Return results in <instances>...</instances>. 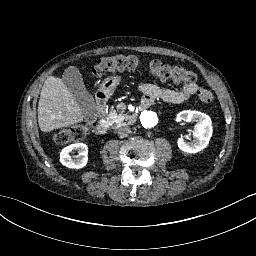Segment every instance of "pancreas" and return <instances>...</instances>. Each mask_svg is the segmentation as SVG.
I'll return each mask as SVG.
<instances>
[{"instance_id": "1", "label": "pancreas", "mask_w": 256, "mask_h": 256, "mask_svg": "<svg viewBox=\"0 0 256 256\" xmlns=\"http://www.w3.org/2000/svg\"><path fill=\"white\" fill-rule=\"evenodd\" d=\"M126 105L120 103L117 105L116 110H111L108 114V119L112 123V128H117L119 125L128 124L132 125L136 119L133 116L125 113Z\"/></svg>"}]
</instances>
